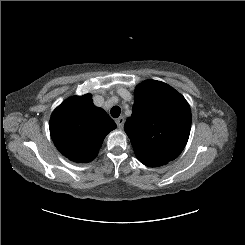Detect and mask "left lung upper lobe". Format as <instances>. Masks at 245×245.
<instances>
[{
	"instance_id": "5c2ea615",
	"label": "left lung upper lobe",
	"mask_w": 245,
	"mask_h": 245,
	"mask_svg": "<svg viewBox=\"0 0 245 245\" xmlns=\"http://www.w3.org/2000/svg\"><path fill=\"white\" fill-rule=\"evenodd\" d=\"M134 98L124 130L135 155L146 166L165 165L182 152L188 141L190 106L175 89L156 80L139 84Z\"/></svg>"
}]
</instances>
